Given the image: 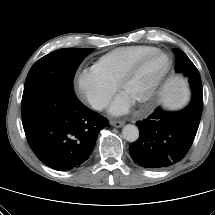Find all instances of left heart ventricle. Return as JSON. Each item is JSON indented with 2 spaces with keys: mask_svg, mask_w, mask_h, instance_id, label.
Here are the masks:
<instances>
[{
  "mask_svg": "<svg viewBox=\"0 0 215 215\" xmlns=\"http://www.w3.org/2000/svg\"><path fill=\"white\" fill-rule=\"evenodd\" d=\"M167 64V58L163 55H155L150 58L138 71L136 76L125 86L123 93L133 102L143 98L156 82Z\"/></svg>",
  "mask_w": 215,
  "mask_h": 215,
  "instance_id": "left-heart-ventricle-1",
  "label": "left heart ventricle"
}]
</instances>
